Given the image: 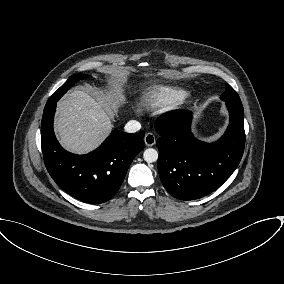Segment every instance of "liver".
<instances>
[{"instance_id":"liver-1","label":"liver","mask_w":284,"mask_h":284,"mask_svg":"<svg viewBox=\"0 0 284 284\" xmlns=\"http://www.w3.org/2000/svg\"><path fill=\"white\" fill-rule=\"evenodd\" d=\"M55 131L68 151L85 154L97 148L112 130L103 106L88 93L75 90L57 103Z\"/></svg>"}]
</instances>
